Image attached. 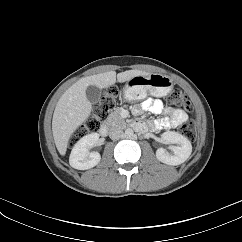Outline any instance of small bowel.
Listing matches in <instances>:
<instances>
[{"mask_svg": "<svg viewBox=\"0 0 242 242\" xmlns=\"http://www.w3.org/2000/svg\"><path fill=\"white\" fill-rule=\"evenodd\" d=\"M143 111L153 114H164L165 116L146 124L143 121H135L133 126L140 132H145L148 129L153 131L166 130L171 128H177L188 119L187 114L179 109L171 107H165L163 102L159 99H146L139 108H135V114H140Z\"/></svg>", "mask_w": 242, "mask_h": 242, "instance_id": "1", "label": "small bowel"}]
</instances>
